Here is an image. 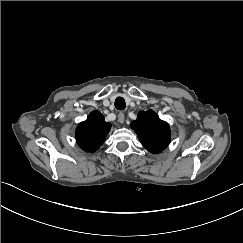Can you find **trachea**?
<instances>
[{"mask_svg":"<svg viewBox=\"0 0 243 243\" xmlns=\"http://www.w3.org/2000/svg\"><path fill=\"white\" fill-rule=\"evenodd\" d=\"M115 107L117 110H120V111L124 110L126 107L125 100L122 97L116 98Z\"/></svg>","mask_w":243,"mask_h":243,"instance_id":"1","label":"trachea"}]
</instances>
